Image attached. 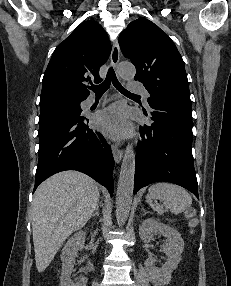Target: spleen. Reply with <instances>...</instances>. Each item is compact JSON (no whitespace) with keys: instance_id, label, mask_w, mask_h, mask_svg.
Listing matches in <instances>:
<instances>
[{"instance_id":"obj_1","label":"spleen","mask_w":231,"mask_h":286,"mask_svg":"<svg viewBox=\"0 0 231 286\" xmlns=\"http://www.w3.org/2000/svg\"><path fill=\"white\" fill-rule=\"evenodd\" d=\"M146 195V202L154 211L162 213L165 210H170L173 214H180L192 205V197L182 187L165 182H159L151 185ZM160 200L163 205L153 203L155 200Z\"/></svg>"}]
</instances>
